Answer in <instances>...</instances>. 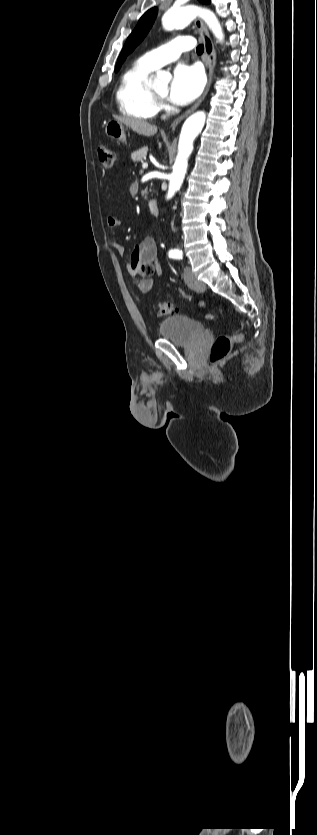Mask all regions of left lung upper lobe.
Returning <instances> with one entry per match:
<instances>
[{"label":"left lung upper lobe","mask_w":317,"mask_h":835,"mask_svg":"<svg viewBox=\"0 0 317 835\" xmlns=\"http://www.w3.org/2000/svg\"><path fill=\"white\" fill-rule=\"evenodd\" d=\"M202 3H210V0H199ZM157 15V8H151L148 10L138 21L133 32L127 38V41L121 51V54L118 58L117 65L115 72H117L124 60L126 59L127 55H129L135 47L144 39V37L149 32L150 28L152 27L155 18Z\"/></svg>","instance_id":"obj_1"}]
</instances>
